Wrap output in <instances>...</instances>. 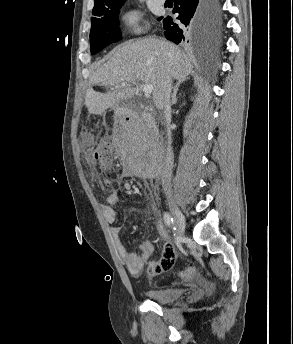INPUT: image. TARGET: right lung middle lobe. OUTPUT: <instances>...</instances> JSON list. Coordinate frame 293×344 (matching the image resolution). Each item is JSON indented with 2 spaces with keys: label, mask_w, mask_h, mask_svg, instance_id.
<instances>
[{
  "label": "right lung middle lobe",
  "mask_w": 293,
  "mask_h": 344,
  "mask_svg": "<svg viewBox=\"0 0 293 344\" xmlns=\"http://www.w3.org/2000/svg\"><path fill=\"white\" fill-rule=\"evenodd\" d=\"M124 0L92 11L90 46L91 54L100 52L103 48L121 39L119 33L118 13Z\"/></svg>",
  "instance_id": "right-lung-middle-lobe-1"
}]
</instances>
